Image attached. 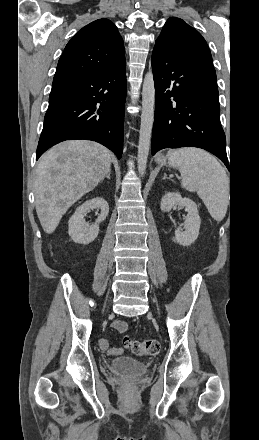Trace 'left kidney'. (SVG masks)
<instances>
[{
	"instance_id": "left-kidney-1",
	"label": "left kidney",
	"mask_w": 259,
	"mask_h": 440,
	"mask_svg": "<svg viewBox=\"0 0 259 440\" xmlns=\"http://www.w3.org/2000/svg\"><path fill=\"white\" fill-rule=\"evenodd\" d=\"M177 205L185 207L188 214L184 231L177 228L173 241L183 246H190L197 239L201 224L197 205L190 198L182 197L178 192H168L162 197L160 208L163 212H170Z\"/></svg>"
}]
</instances>
